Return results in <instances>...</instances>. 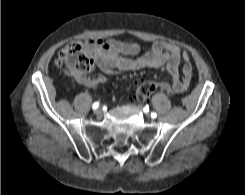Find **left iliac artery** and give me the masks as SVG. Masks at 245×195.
Wrapping results in <instances>:
<instances>
[{
	"label": "left iliac artery",
	"instance_id": "obj_1",
	"mask_svg": "<svg viewBox=\"0 0 245 195\" xmlns=\"http://www.w3.org/2000/svg\"><path fill=\"white\" fill-rule=\"evenodd\" d=\"M151 117H152L153 119H155V118L157 117V114H156L155 112H152V113H151Z\"/></svg>",
	"mask_w": 245,
	"mask_h": 195
}]
</instances>
